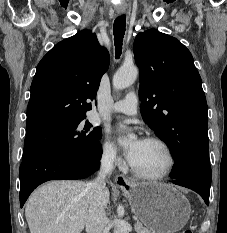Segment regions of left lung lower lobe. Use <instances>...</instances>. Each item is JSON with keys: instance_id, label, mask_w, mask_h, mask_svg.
I'll list each match as a JSON object with an SVG mask.
<instances>
[{"instance_id": "left-lung-lower-lobe-1", "label": "left lung lower lobe", "mask_w": 227, "mask_h": 233, "mask_svg": "<svg viewBox=\"0 0 227 233\" xmlns=\"http://www.w3.org/2000/svg\"><path fill=\"white\" fill-rule=\"evenodd\" d=\"M173 183L194 190L209 205L210 186L205 185L204 182L196 179H176Z\"/></svg>"}]
</instances>
